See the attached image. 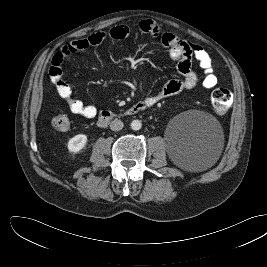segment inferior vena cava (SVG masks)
Masks as SVG:
<instances>
[{
    "label": "inferior vena cava",
    "instance_id": "602c4592",
    "mask_svg": "<svg viewBox=\"0 0 267 267\" xmlns=\"http://www.w3.org/2000/svg\"><path fill=\"white\" fill-rule=\"evenodd\" d=\"M124 127V124L121 120L115 119L110 123V129L112 131H120Z\"/></svg>",
    "mask_w": 267,
    "mask_h": 267
}]
</instances>
